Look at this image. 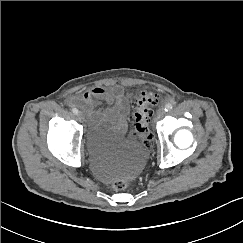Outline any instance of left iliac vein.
<instances>
[{"instance_id":"1","label":"left iliac vein","mask_w":243,"mask_h":243,"mask_svg":"<svg viewBox=\"0 0 243 243\" xmlns=\"http://www.w3.org/2000/svg\"><path fill=\"white\" fill-rule=\"evenodd\" d=\"M164 115H165V109H164V108H160V109H158V111H157V113H156V119L159 120V119H161Z\"/></svg>"}]
</instances>
